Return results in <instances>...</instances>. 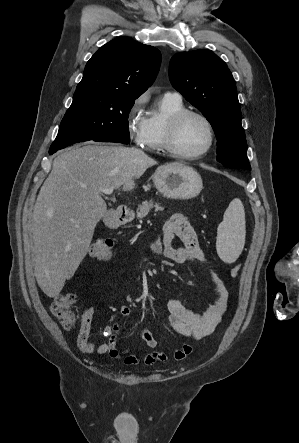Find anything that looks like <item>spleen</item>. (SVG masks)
Wrapping results in <instances>:
<instances>
[{
	"instance_id": "spleen-1",
	"label": "spleen",
	"mask_w": 299,
	"mask_h": 443,
	"mask_svg": "<svg viewBox=\"0 0 299 443\" xmlns=\"http://www.w3.org/2000/svg\"><path fill=\"white\" fill-rule=\"evenodd\" d=\"M245 234L244 207L241 200L235 198L217 229L216 249L222 261L233 263L237 260L245 244Z\"/></svg>"
}]
</instances>
